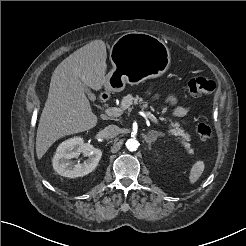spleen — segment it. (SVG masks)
<instances>
[{
	"label": "spleen",
	"mask_w": 246,
	"mask_h": 246,
	"mask_svg": "<svg viewBox=\"0 0 246 246\" xmlns=\"http://www.w3.org/2000/svg\"><path fill=\"white\" fill-rule=\"evenodd\" d=\"M205 164L203 161H197L191 168L189 174L190 183H195L204 171Z\"/></svg>",
	"instance_id": "obj_1"
}]
</instances>
